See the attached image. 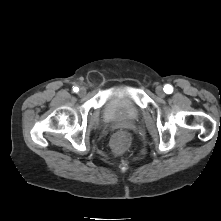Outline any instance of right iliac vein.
<instances>
[{"instance_id": "right-iliac-vein-1", "label": "right iliac vein", "mask_w": 221, "mask_h": 221, "mask_svg": "<svg viewBox=\"0 0 221 221\" xmlns=\"http://www.w3.org/2000/svg\"><path fill=\"white\" fill-rule=\"evenodd\" d=\"M78 94L80 96H84L86 94V89L84 87H81Z\"/></svg>"}]
</instances>
